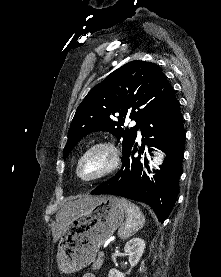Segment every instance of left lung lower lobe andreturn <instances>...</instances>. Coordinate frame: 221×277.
<instances>
[{"label": "left lung lower lobe", "mask_w": 221, "mask_h": 277, "mask_svg": "<svg viewBox=\"0 0 221 277\" xmlns=\"http://www.w3.org/2000/svg\"><path fill=\"white\" fill-rule=\"evenodd\" d=\"M141 133L143 138L139 150L134 142L122 160L121 170L95 188L91 194H113L145 202L163 223L177 199L184 154L183 117L175 95L146 123ZM145 145L157 147L167 154L164 164L160 166L161 170H154L156 174L152 180L147 176L140 156ZM152 150L148 148V151ZM147 162L144 158L145 167L150 173Z\"/></svg>", "instance_id": "obj_1"}]
</instances>
